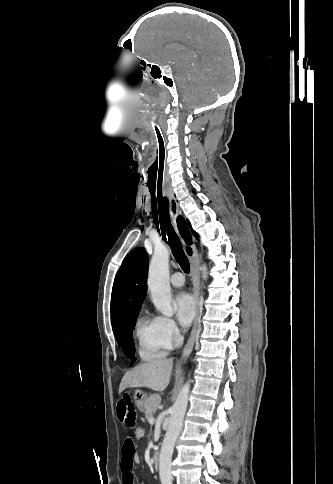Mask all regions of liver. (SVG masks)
Returning a JSON list of instances; mask_svg holds the SVG:
<instances>
[{
  "label": "liver",
  "instance_id": "1",
  "mask_svg": "<svg viewBox=\"0 0 333 484\" xmlns=\"http://www.w3.org/2000/svg\"><path fill=\"white\" fill-rule=\"evenodd\" d=\"M173 369L172 359H155L141 363L123 376L119 394L131 387H147L153 391H163L170 382Z\"/></svg>",
  "mask_w": 333,
  "mask_h": 484
}]
</instances>
